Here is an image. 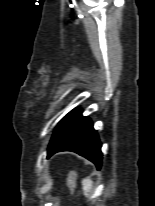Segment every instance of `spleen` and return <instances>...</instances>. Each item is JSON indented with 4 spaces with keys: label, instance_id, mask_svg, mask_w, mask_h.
<instances>
[{
    "label": "spleen",
    "instance_id": "3e777b00",
    "mask_svg": "<svg viewBox=\"0 0 155 206\" xmlns=\"http://www.w3.org/2000/svg\"><path fill=\"white\" fill-rule=\"evenodd\" d=\"M83 192L86 197L89 196L93 189V181L88 177L82 180Z\"/></svg>",
    "mask_w": 155,
    "mask_h": 206
}]
</instances>
